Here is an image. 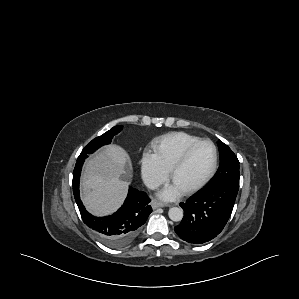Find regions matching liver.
<instances>
[{
    "label": "liver",
    "instance_id": "liver-1",
    "mask_svg": "<svg viewBox=\"0 0 299 299\" xmlns=\"http://www.w3.org/2000/svg\"><path fill=\"white\" fill-rule=\"evenodd\" d=\"M127 152L118 145H110L89 159L81 177V199L86 209L96 216L115 212L123 203L128 183Z\"/></svg>",
    "mask_w": 299,
    "mask_h": 299
}]
</instances>
